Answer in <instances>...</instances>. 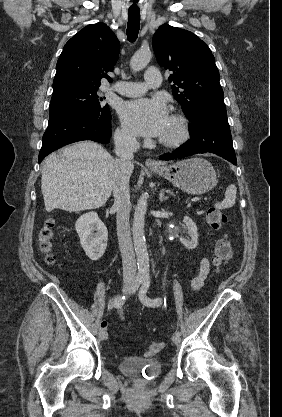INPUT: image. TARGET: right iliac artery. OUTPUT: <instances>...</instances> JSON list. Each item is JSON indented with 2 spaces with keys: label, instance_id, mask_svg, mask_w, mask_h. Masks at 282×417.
<instances>
[{
  "label": "right iliac artery",
  "instance_id": "1",
  "mask_svg": "<svg viewBox=\"0 0 282 417\" xmlns=\"http://www.w3.org/2000/svg\"><path fill=\"white\" fill-rule=\"evenodd\" d=\"M141 283H142V279H137L136 280V287L138 288ZM135 290H136V288H135ZM126 299H127V297L125 295H118L113 299L110 307L111 308H121L123 306V304L125 303Z\"/></svg>",
  "mask_w": 282,
  "mask_h": 417
}]
</instances>
